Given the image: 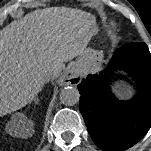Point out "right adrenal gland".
Wrapping results in <instances>:
<instances>
[{
  "label": "right adrenal gland",
  "mask_w": 151,
  "mask_h": 151,
  "mask_svg": "<svg viewBox=\"0 0 151 151\" xmlns=\"http://www.w3.org/2000/svg\"><path fill=\"white\" fill-rule=\"evenodd\" d=\"M35 101H36V102H38V101H39V99H38V98H35Z\"/></svg>",
  "instance_id": "right-adrenal-gland-1"
}]
</instances>
